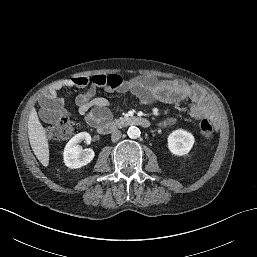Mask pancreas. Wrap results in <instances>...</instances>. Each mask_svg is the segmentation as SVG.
I'll return each instance as SVG.
<instances>
[{
	"label": "pancreas",
	"mask_w": 257,
	"mask_h": 257,
	"mask_svg": "<svg viewBox=\"0 0 257 257\" xmlns=\"http://www.w3.org/2000/svg\"><path fill=\"white\" fill-rule=\"evenodd\" d=\"M121 120H123V118H119V119H118V121H121Z\"/></svg>",
	"instance_id": "pancreas-1"
}]
</instances>
